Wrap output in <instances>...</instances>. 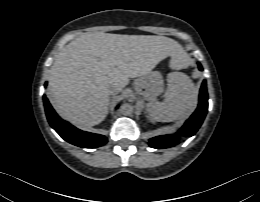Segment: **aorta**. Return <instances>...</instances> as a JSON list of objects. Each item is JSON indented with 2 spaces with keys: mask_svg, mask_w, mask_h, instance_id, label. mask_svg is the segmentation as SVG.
Instances as JSON below:
<instances>
[{
  "mask_svg": "<svg viewBox=\"0 0 260 202\" xmlns=\"http://www.w3.org/2000/svg\"><path fill=\"white\" fill-rule=\"evenodd\" d=\"M133 110V105L130 103H123L120 107V112L124 115H131Z\"/></svg>",
  "mask_w": 260,
  "mask_h": 202,
  "instance_id": "762f6f07",
  "label": "aorta"
}]
</instances>
